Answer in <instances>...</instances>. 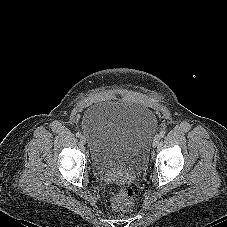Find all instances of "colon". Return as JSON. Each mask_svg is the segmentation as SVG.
<instances>
[{"mask_svg":"<svg viewBox=\"0 0 227 227\" xmlns=\"http://www.w3.org/2000/svg\"><path fill=\"white\" fill-rule=\"evenodd\" d=\"M137 194L131 186H117L110 196L111 207L120 213L129 212L136 201Z\"/></svg>","mask_w":227,"mask_h":227,"instance_id":"obj_1","label":"colon"}]
</instances>
